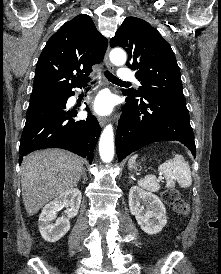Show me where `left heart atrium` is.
<instances>
[{
	"mask_svg": "<svg viewBox=\"0 0 221 274\" xmlns=\"http://www.w3.org/2000/svg\"><path fill=\"white\" fill-rule=\"evenodd\" d=\"M113 107V101L109 94H100L94 102V111L99 115H106L111 112Z\"/></svg>",
	"mask_w": 221,
	"mask_h": 274,
	"instance_id": "39dd6f15",
	"label": "left heart atrium"
}]
</instances>
